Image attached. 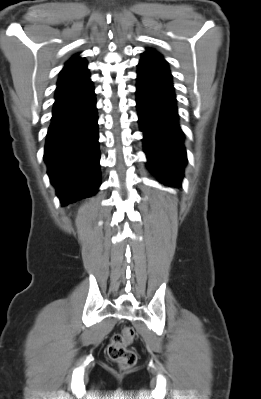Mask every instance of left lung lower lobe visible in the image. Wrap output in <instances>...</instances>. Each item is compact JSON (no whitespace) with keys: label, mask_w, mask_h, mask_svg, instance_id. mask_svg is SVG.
Masks as SVG:
<instances>
[{"label":"left lung lower lobe","mask_w":261,"mask_h":399,"mask_svg":"<svg viewBox=\"0 0 261 399\" xmlns=\"http://www.w3.org/2000/svg\"><path fill=\"white\" fill-rule=\"evenodd\" d=\"M137 108L148 167L167 186H179L187 163L176 98L167 67L140 62Z\"/></svg>","instance_id":"obj_1"}]
</instances>
